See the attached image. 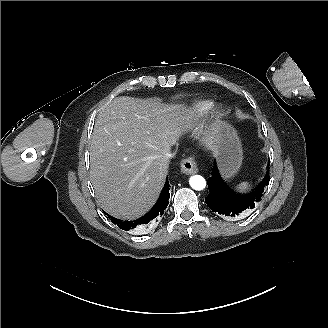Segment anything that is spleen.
Here are the masks:
<instances>
[{"label": "spleen", "mask_w": 328, "mask_h": 328, "mask_svg": "<svg viewBox=\"0 0 328 328\" xmlns=\"http://www.w3.org/2000/svg\"><path fill=\"white\" fill-rule=\"evenodd\" d=\"M248 186L247 183L242 182L241 184L238 185V188L242 189V188H246Z\"/></svg>", "instance_id": "1"}]
</instances>
